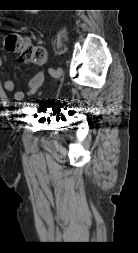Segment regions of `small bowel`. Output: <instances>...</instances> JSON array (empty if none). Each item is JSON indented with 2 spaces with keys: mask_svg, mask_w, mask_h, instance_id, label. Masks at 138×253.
I'll return each instance as SVG.
<instances>
[{
  "mask_svg": "<svg viewBox=\"0 0 138 253\" xmlns=\"http://www.w3.org/2000/svg\"><path fill=\"white\" fill-rule=\"evenodd\" d=\"M25 44H29L27 41H25ZM3 64V60L0 57V67ZM45 80V72L40 71L36 73L28 82V90L27 93H24L23 91L20 90H15V84L12 80H7L4 82V89L7 92H13V97L16 101H21L23 100L26 96H32L36 94L43 84Z\"/></svg>",
  "mask_w": 138,
  "mask_h": 253,
  "instance_id": "small-bowel-1",
  "label": "small bowel"
}]
</instances>
